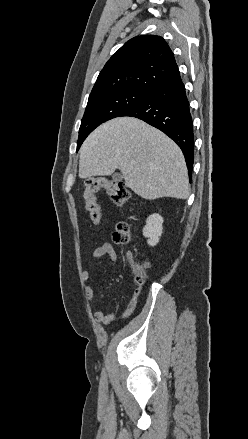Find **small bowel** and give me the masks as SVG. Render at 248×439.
<instances>
[{
    "label": "small bowel",
    "instance_id": "obj_1",
    "mask_svg": "<svg viewBox=\"0 0 248 439\" xmlns=\"http://www.w3.org/2000/svg\"><path fill=\"white\" fill-rule=\"evenodd\" d=\"M108 256L112 266H114L117 262L118 255L113 247V245L110 242H104L100 246L94 249L92 253V258L94 260L102 259L103 257ZM128 259H131V255H128ZM82 278L84 281L88 282L86 286V296L90 304L95 303L96 300V290L93 288L92 284L90 283V280L92 278V272L90 270H84L82 272ZM140 289L136 288L133 291L132 297L130 298L126 309L123 313V318L129 317L135 310L138 297H139ZM119 309V306H116L115 309L109 313H106L102 310H98L94 314L95 321L102 324H109L112 322L115 318V315Z\"/></svg>",
    "mask_w": 248,
    "mask_h": 439
}]
</instances>
